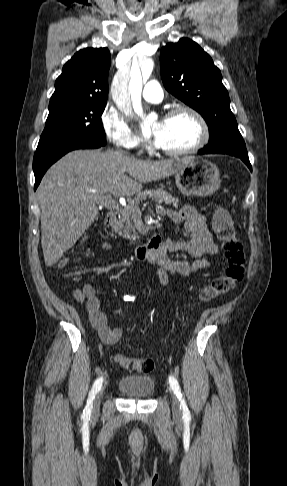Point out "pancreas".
Instances as JSON below:
<instances>
[{
    "instance_id": "obj_1",
    "label": "pancreas",
    "mask_w": 287,
    "mask_h": 486,
    "mask_svg": "<svg viewBox=\"0 0 287 486\" xmlns=\"http://www.w3.org/2000/svg\"><path fill=\"white\" fill-rule=\"evenodd\" d=\"M147 197L154 200L158 204H173L174 207H176L177 203L179 202L178 198L173 197L170 193L161 189L145 190L144 192L138 194L133 200L129 201V204L126 207L119 210L120 217L117 224L114 226V230L120 236L124 237L125 239H129L130 241H135L136 238H138L137 232L133 225L134 213L140 212L139 204L141 201L146 200Z\"/></svg>"
}]
</instances>
